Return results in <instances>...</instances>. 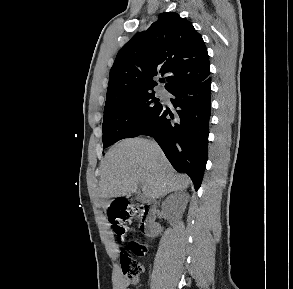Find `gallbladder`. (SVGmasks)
Segmentation results:
<instances>
[{
  "label": "gallbladder",
  "mask_w": 293,
  "mask_h": 289,
  "mask_svg": "<svg viewBox=\"0 0 293 289\" xmlns=\"http://www.w3.org/2000/svg\"><path fill=\"white\" fill-rule=\"evenodd\" d=\"M135 199L138 200V201H142L143 197L140 194L136 193Z\"/></svg>",
  "instance_id": "1"
}]
</instances>
